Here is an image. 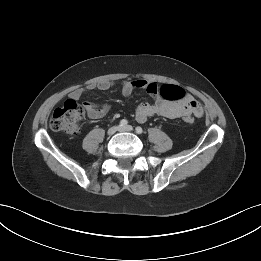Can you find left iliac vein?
I'll list each match as a JSON object with an SVG mask.
<instances>
[{"label": "left iliac vein", "mask_w": 261, "mask_h": 261, "mask_svg": "<svg viewBox=\"0 0 261 261\" xmlns=\"http://www.w3.org/2000/svg\"><path fill=\"white\" fill-rule=\"evenodd\" d=\"M132 130H133V127L130 126V125H127V126L121 127L119 131H121V132H131Z\"/></svg>", "instance_id": "1"}]
</instances>
